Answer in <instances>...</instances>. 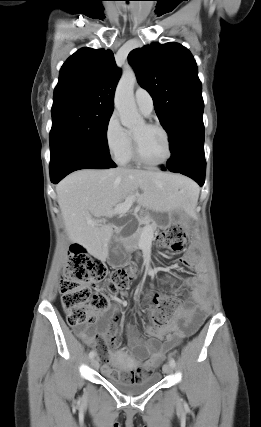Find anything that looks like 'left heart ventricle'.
I'll return each mask as SVG.
<instances>
[{"mask_svg":"<svg viewBox=\"0 0 261 427\" xmlns=\"http://www.w3.org/2000/svg\"><path fill=\"white\" fill-rule=\"evenodd\" d=\"M139 144L141 155L151 163L163 161L168 154V147L164 134L154 128L140 124L132 132Z\"/></svg>","mask_w":261,"mask_h":427,"instance_id":"1","label":"left heart ventricle"}]
</instances>
